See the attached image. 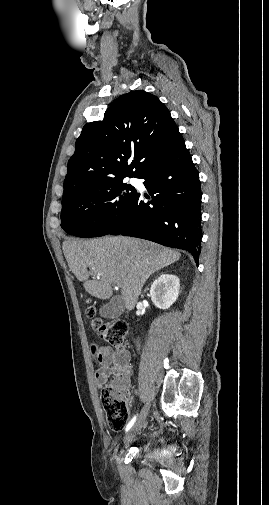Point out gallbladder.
I'll return each instance as SVG.
<instances>
[{
	"instance_id": "bac80fb5",
	"label": "gallbladder",
	"mask_w": 269,
	"mask_h": 505,
	"mask_svg": "<svg viewBox=\"0 0 269 505\" xmlns=\"http://www.w3.org/2000/svg\"><path fill=\"white\" fill-rule=\"evenodd\" d=\"M125 310L124 301L121 296L113 297L108 303L100 308V315L105 318L114 319L123 314Z\"/></svg>"
}]
</instances>
